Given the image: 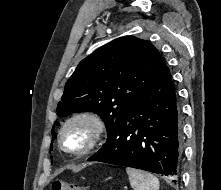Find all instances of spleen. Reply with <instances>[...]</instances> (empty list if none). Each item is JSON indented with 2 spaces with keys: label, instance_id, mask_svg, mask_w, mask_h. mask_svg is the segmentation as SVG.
Masks as SVG:
<instances>
[{
  "label": "spleen",
  "instance_id": "obj_1",
  "mask_svg": "<svg viewBox=\"0 0 221 190\" xmlns=\"http://www.w3.org/2000/svg\"><path fill=\"white\" fill-rule=\"evenodd\" d=\"M126 172L134 190H159V180L151 173L127 167Z\"/></svg>",
  "mask_w": 221,
  "mask_h": 190
}]
</instances>
